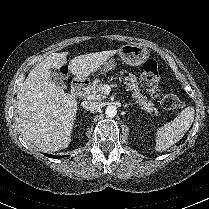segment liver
<instances>
[{
  "label": "liver",
  "instance_id": "liver-1",
  "mask_svg": "<svg viewBox=\"0 0 209 209\" xmlns=\"http://www.w3.org/2000/svg\"><path fill=\"white\" fill-rule=\"evenodd\" d=\"M117 50L79 55L68 68L78 79L95 73ZM68 52L52 53L37 64L17 93L16 126L23 139L44 152L68 147L77 113V101L50 78L51 69L67 64Z\"/></svg>",
  "mask_w": 209,
  "mask_h": 209
}]
</instances>
